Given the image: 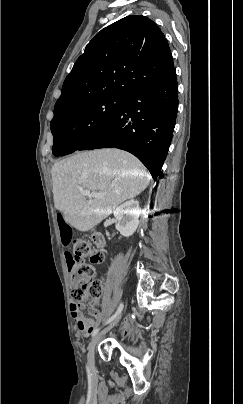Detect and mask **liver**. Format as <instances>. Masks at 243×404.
<instances>
[{"instance_id": "obj_1", "label": "liver", "mask_w": 243, "mask_h": 404, "mask_svg": "<svg viewBox=\"0 0 243 404\" xmlns=\"http://www.w3.org/2000/svg\"><path fill=\"white\" fill-rule=\"evenodd\" d=\"M56 210L66 224L88 232L122 202L139 196L151 180L143 164L123 150L77 152L51 168ZM103 194L87 200L80 190Z\"/></svg>"}]
</instances>
